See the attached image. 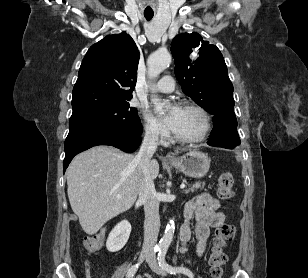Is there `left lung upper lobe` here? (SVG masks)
I'll use <instances>...</instances> for the list:
<instances>
[{
	"instance_id": "5c2ea615",
	"label": "left lung upper lobe",
	"mask_w": 308,
	"mask_h": 278,
	"mask_svg": "<svg viewBox=\"0 0 308 278\" xmlns=\"http://www.w3.org/2000/svg\"><path fill=\"white\" fill-rule=\"evenodd\" d=\"M175 76L183 92L207 112L234 109L233 85L224 58L198 33H182L171 43Z\"/></svg>"
}]
</instances>
